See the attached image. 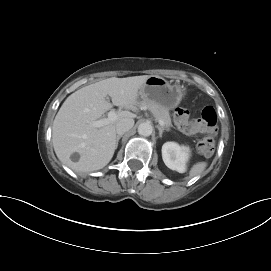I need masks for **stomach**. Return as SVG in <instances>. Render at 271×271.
<instances>
[{
  "instance_id": "obj_1",
  "label": "stomach",
  "mask_w": 271,
  "mask_h": 271,
  "mask_svg": "<svg viewBox=\"0 0 271 271\" xmlns=\"http://www.w3.org/2000/svg\"><path fill=\"white\" fill-rule=\"evenodd\" d=\"M185 95V89L177 84H171L163 77L150 76L139 89L142 101L154 102L167 110L175 108Z\"/></svg>"
}]
</instances>
